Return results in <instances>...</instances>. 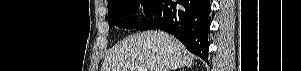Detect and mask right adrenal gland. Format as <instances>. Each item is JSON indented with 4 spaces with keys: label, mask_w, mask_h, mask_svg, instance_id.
Listing matches in <instances>:
<instances>
[{
    "label": "right adrenal gland",
    "mask_w": 301,
    "mask_h": 71,
    "mask_svg": "<svg viewBox=\"0 0 301 71\" xmlns=\"http://www.w3.org/2000/svg\"><path fill=\"white\" fill-rule=\"evenodd\" d=\"M180 71H184V68L180 69Z\"/></svg>",
    "instance_id": "1"
}]
</instances>
